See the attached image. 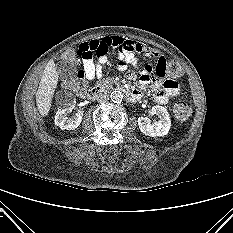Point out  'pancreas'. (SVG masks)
Masks as SVG:
<instances>
[{
	"label": "pancreas",
	"instance_id": "cf45deb5",
	"mask_svg": "<svg viewBox=\"0 0 233 233\" xmlns=\"http://www.w3.org/2000/svg\"><path fill=\"white\" fill-rule=\"evenodd\" d=\"M114 80L112 78L101 79L97 86L104 89V88H111L113 86Z\"/></svg>",
	"mask_w": 233,
	"mask_h": 233
}]
</instances>
